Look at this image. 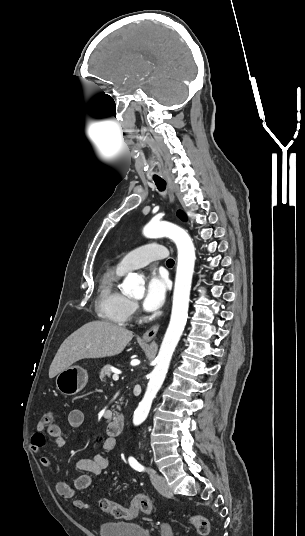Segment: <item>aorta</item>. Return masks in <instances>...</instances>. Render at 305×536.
<instances>
[{
	"instance_id": "1",
	"label": "aorta",
	"mask_w": 305,
	"mask_h": 536,
	"mask_svg": "<svg viewBox=\"0 0 305 536\" xmlns=\"http://www.w3.org/2000/svg\"><path fill=\"white\" fill-rule=\"evenodd\" d=\"M143 234L147 238H170L178 250V263L170 323L156 357V366L150 374L145 395L134 412L133 423L135 425L141 424L147 418L153 399L164 382L172 355L185 328L196 259L191 237L183 228L173 223L150 222L144 227ZM122 290L125 294L141 297L144 294V281L137 274L129 273L122 283Z\"/></svg>"
}]
</instances>
